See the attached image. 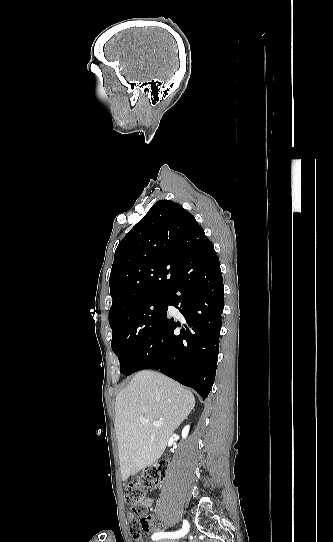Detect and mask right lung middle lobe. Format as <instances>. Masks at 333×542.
I'll return each instance as SVG.
<instances>
[{
    "mask_svg": "<svg viewBox=\"0 0 333 542\" xmlns=\"http://www.w3.org/2000/svg\"><path fill=\"white\" fill-rule=\"evenodd\" d=\"M168 296L133 306L109 319L111 347L117 355L121 374L127 375L135 360L151 342L159 322L166 316Z\"/></svg>",
    "mask_w": 333,
    "mask_h": 542,
    "instance_id": "obj_1",
    "label": "right lung middle lobe"
}]
</instances>
